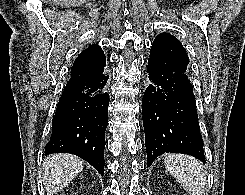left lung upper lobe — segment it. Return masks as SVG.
Segmentation results:
<instances>
[{"instance_id": "left-lung-upper-lobe-1", "label": "left lung upper lobe", "mask_w": 245, "mask_h": 195, "mask_svg": "<svg viewBox=\"0 0 245 195\" xmlns=\"http://www.w3.org/2000/svg\"><path fill=\"white\" fill-rule=\"evenodd\" d=\"M175 72L186 73L189 58L180 41L168 33L159 34L152 44L150 56Z\"/></svg>"}]
</instances>
